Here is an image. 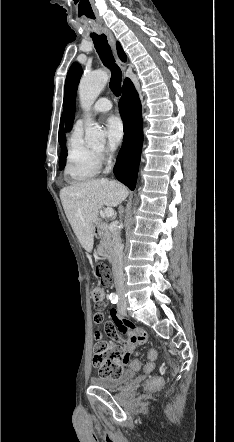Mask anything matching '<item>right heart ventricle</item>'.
<instances>
[{
    "label": "right heart ventricle",
    "instance_id": "obj_1",
    "mask_svg": "<svg viewBox=\"0 0 234 442\" xmlns=\"http://www.w3.org/2000/svg\"><path fill=\"white\" fill-rule=\"evenodd\" d=\"M100 158L83 140V131L75 127L67 144L65 176L73 183L86 182L99 172Z\"/></svg>",
    "mask_w": 234,
    "mask_h": 442
}]
</instances>
